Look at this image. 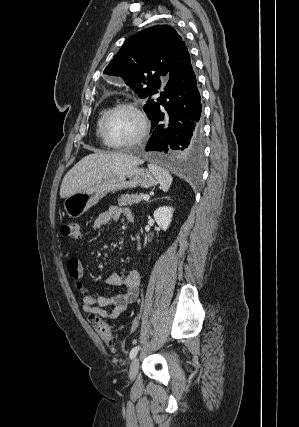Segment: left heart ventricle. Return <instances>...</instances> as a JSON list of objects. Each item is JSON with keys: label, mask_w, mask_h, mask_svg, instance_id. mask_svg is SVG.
<instances>
[{"label": "left heart ventricle", "mask_w": 299, "mask_h": 427, "mask_svg": "<svg viewBox=\"0 0 299 427\" xmlns=\"http://www.w3.org/2000/svg\"><path fill=\"white\" fill-rule=\"evenodd\" d=\"M140 130L138 117L131 111H116L109 119L106 132L113 143H125L132 140Z\"/></svg>", "instance_id": "left-heart-ventricle-1"}]
</instances>
